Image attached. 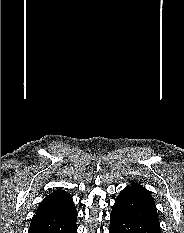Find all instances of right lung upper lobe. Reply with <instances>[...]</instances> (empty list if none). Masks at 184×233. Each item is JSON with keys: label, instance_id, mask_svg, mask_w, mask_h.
Wrapping results in <instances>:
<instances>
[{"label": "right lung upper lobe", "instance_id": "obj_1", "mask_svg": "<svg viewBox=\"0 0 184 233\" xmlns=\"http://www.w3.org/2000/svg\"><path fill=\"white\" fill-rule=\"evenodd\" d=\"M74 205L69 193L59 190L49 194L40 204L35 214L52 211L54 209Z\"/></svg>", "mask_w": 184, "mask_h": 233}]
</instances>
